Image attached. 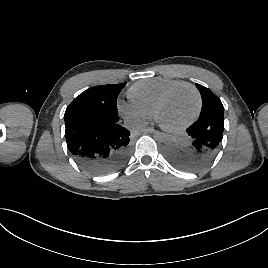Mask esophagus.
I'll return each instance as SVG.
<instances>
[{
  "label": "esophagus",
  "mask_w": 268,
  "mask_h": 268,
  "mask_svg": "<svg viewBox=\"0 0 268 268\" xmlns=\"http://www.w3.org/2000/svg\"><path fill=\"white\" fill-rule=\"evenodd\" d=\"M141 131L143 133H154V132H156V130L154 128H152V127L143 128Z\"/></svg>",
  "instance_id": "34e87169"
}]
</instances>
